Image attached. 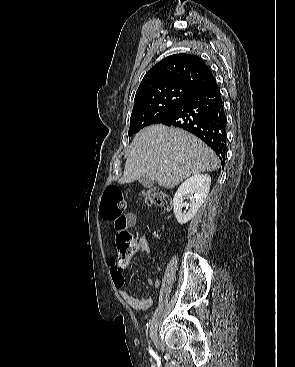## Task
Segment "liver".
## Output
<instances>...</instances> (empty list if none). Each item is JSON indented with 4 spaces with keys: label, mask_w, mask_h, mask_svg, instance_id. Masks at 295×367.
<instances>
[{
    "label": "liver",
    "mask_w": 295,
    "mask_h": 367,
    "mask_svg": "<svg viewBox=\"0 0 295 367\" xmlns=\"http://www.w3.org/2000/svg\"><path fill=\"white\" fill-rule=\"evenodd\" d=\"M219 166L215 152L197 137L178 128L151 125L134 137L119 183L148 178L171 189L191 175Z\"/></svg>",
    "instance_id": "1"
}]
</instances>
